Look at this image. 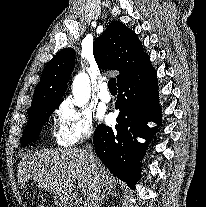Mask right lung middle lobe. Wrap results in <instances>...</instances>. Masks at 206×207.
Wrapping results in <instances>:
<instances>
[{
  "label": "right lung middle lobe",
  "instance_id": "obj_1",
  "mask_svg": "<svg viewBox=\"0 0 206 207\" xmlns=\"http://www.w3.org/2000/svg\"><path fill=\"white\" fill-rule=\"evenodd\" d=\"M58 106L59 104H47L29 112V121L21 138L23 146L38 139L42 126Z\"/></svg>",
  "mask_w": 206,
  "mask_h": 207
}]
</instances>
